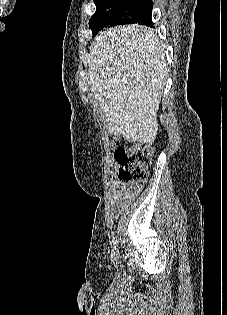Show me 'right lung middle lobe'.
Masks as SVG:
<instances>
[{"mask_svg":"<svg viewBox=\"0 0 227 315\" xmlns=\"http://www.w3.org/2000/svg\"><path fill=\"white\" fill-rule=\"evenodd\" d=\"M94 3L96 12L89 20L93 37L107 26L132 23L152 26L151 0H99Z\"/></svg>","mask_w":227,"mask_h":315,"instance_id":"obj_1","label":"right lung middle lobe"}]
</instances>
